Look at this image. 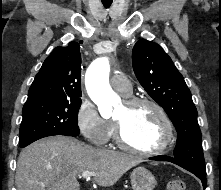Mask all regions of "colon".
<instances>
[{"label": "colon", "mask_w": 221, "mask_h": 190, "mask_svg": "<svg viewBox=\"0 0 221 190\" xmlns=\"http://www.w3.org/2000/svg\"><path fill=\"white\" fill-rule=\"evenodd\" d=\"M187 185L183 180H173L168 183L167 190H186Z\"/></svg>", "instance_id": "1"}]
</instances>
